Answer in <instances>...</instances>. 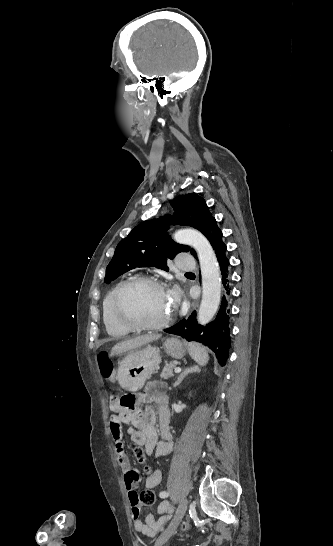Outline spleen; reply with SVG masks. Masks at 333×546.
<instances>
[{
  "label": "spleen",
  "instance_id": "1",
  "mask_svg": "<svg viewBox=\"0 0 333 546\" xmlns=\"http://www.w3.org/2000/svg\"><path fill=\"white\" fill-rule=\"evenodd\" d=\"M188 347H189V353L191 355V357L200 365V366H204L207 364L208 360H209V356H208V352L206 350V348L199 344V343H195V342H190L188 344Z\"/></svg>",
  "mask_w": 333,
  "mask_h": 546
}]
</instances>
